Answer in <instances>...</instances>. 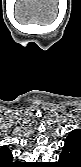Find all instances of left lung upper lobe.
I'll list each match as a JSON object with an SVG mask.
<instances>
[{
	"label": "left lung upper lobe",
	"mask_w": 81,
	"mask_h": 167,
	"mask_svg": "<svg viewBox=\"0 0 81 167\" xmlns=\"http://www.w3.org/2000/svg\"><path fill=\"white\" fill-rule=\"evenodd\" d=\"M65 142H74L81 146V129L72 130Z\"/></svg>",
	"instance_id": "1"
}]
</instances>
